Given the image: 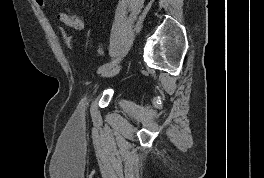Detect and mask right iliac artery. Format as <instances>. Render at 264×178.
Masks as SVG:
<instances>
[{"label":"right iliac artery","instance_id":"right-iliac-artery-1","mask_svg":"<svg viewBox=\"0 0 264 178\" xmlns=\"http://www.w3.org/2000/svg\"><path fill=\"white\" fill-rule=\"evenodd\" d=\"M119 61V58L118 59H115L109 63H106L104 65H102L99 69H98V73H102L103 71L107 70V69H110L112 68L114 65H116Z\"/></svg>","mask_w":264,"mask_h":178}]
</instances>
